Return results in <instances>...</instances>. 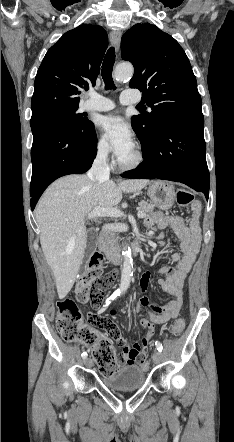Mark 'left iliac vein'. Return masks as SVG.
<instances>
[{"instance_id": "4c4485c4", "label": "left iliac vein", "mask_w": 234, "mask_h": 442, "mask_svg": "<svg viewBox=\"0 0 234 442\" xmlns=\"http://www.w3.org/2000/svg\"><path fill=\"white\" fill-rule=\"evenodd\" d=\"M152 359H153V362H154L155 364L160 363L161 360H162V355H161V353H160L159 351H155L154 354H153V356H152Z\"/></svg>"}]
</instances>
